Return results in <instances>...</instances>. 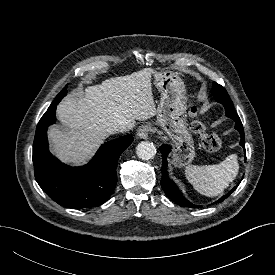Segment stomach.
<instances>
[{"label":"stomach","mask_w":275,"mask_h":275,"mask_svg":"<svg viewBox=\"0 0 275 275\" xmlns=\"http://www.w3.org/2000/svg\"><path fill=\"white\" fill-rule=\"evenodd\" d=\"M154 84L161 92L157 123L175 146L172 163L177 167L185 166L194 159L195 148L186 122L184 82L177 72L164 71L154 73Z\"/></svg>","instance_id":"obj_1"}]
</instances>
